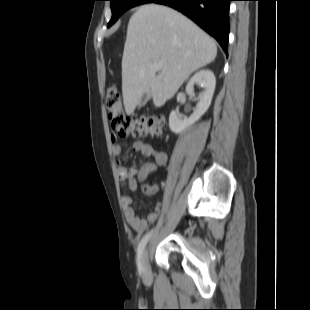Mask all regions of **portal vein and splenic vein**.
<instances>
[{"label":"portal vein and splenic vein","mask_w":310,"mask_h":310,"mask_svg":"<svg viewBox=\"0 0 310 310\" xmlns=\"http://www.w3.org/2000/svg\"><path fill=\"white\" fill-rule=\"evenodd\" d=\"M162 68V64L161 63H157V64H153L151 65V69L154 71H160Z\"/></svg>","instance_id":"portal-vein-and-splenic-vein-1"}]
</instances>
